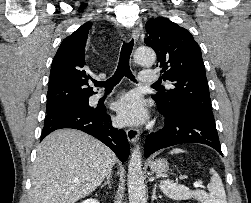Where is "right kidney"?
<instances>
[{"label": "right kidney", "instance_id": "1", "mask_svg": "<svg viewBox=\"0 0 251 203\" xmlns=\"http://www.w3.org/2000/svg\"><path fill=\"white\" fill-rule=\"evenodd\" d=\"M81 203H99V202L95 199L90 198V199L82 201Z\"/></svg>", "mask_w": 251, "mask_h": 203}]
</instances>
